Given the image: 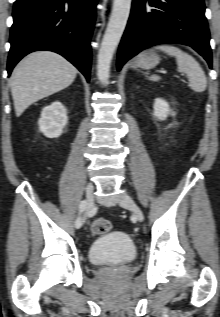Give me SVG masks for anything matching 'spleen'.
<instances>
[{"instance_id": "3e777b00", "label": "spleen", "mask_w": 220, "mask_h": 317, "mask_svg": "<svg viewBox=\"0 0 220 317\" xmlns=\"http://www.w3.org/2000/svg\"><path fill=\"white\" fill-rule=\"evenodd\" d=\"M156 49L176 58L177 70L187 75L188 85L191 89L195 92L205 91L207 87L206 75L194 57L171 45H160L156 47ZM148 79L151 81H159L161 78L157 75H152Z\"/></svg>"}]
</instances>
